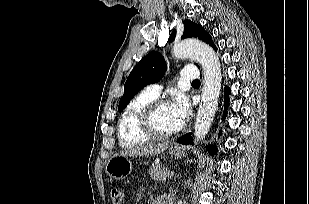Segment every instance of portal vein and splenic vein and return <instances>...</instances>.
I'll use <instances>...</instances> for the list:
<instances>
[{
	"label": "portal vein and splenic vein",
	"mask_w": 309,
	"mask_h": 204,
	"mask_svg": "<svg viewBox=\"0 0 309 204\" xmlns=\"http://www.w3.org/2000/svg\"><path fill=\"white\" fill-rule=\"evenodd\" d=\"M173 175H174V172H173V171H171V172H170V171H168V176H170V177H171V176H173Z\"/></svg>",
	"instance_id": "18ae733b"
}]
</instances>
